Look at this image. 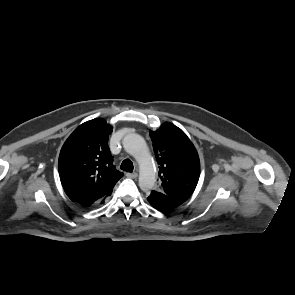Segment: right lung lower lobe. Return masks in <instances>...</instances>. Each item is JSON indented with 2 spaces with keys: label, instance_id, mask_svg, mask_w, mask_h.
I'll use <instances>...</instances> for the list:
<instances>
[{
  "label": "right lung lower lobe",
  "instance_id": "98d812e1",
  "mask_svg": "<svg viewBox=\"0 0 295 295\" xmlns=\"http://www.w3.org/2000/svg\"><path fill=\"white\" fill-rule=\"evenodd\" d=\"M111 193H112V191H111L110 193H108L105 197H103L102 199H100L98 202H96L95 205H97V204H99V203H100V204L104 203L105 198H106L107 196L111 195Z\"/></svg>",
  "mask_w": 295,
  "mask_h": 295
}]
</instances>
